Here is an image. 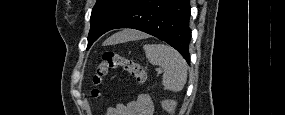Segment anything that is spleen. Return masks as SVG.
<instances>
[{
	"label": "spleen",
	"mask_w": 285,
	"mask_h": 115,
	"mask_svg": "<svg viewBox=\"0 0 285 115\" xmlns=\"http://www.w3.org/2000/svg\"><path fill=\"white\" fill-rule=\"evenodd\" d=\"M116 41L124 40L123 32L113 36ZM144 51L148 61L163 69L162 84L165 89L180 92L187 81V63L172 47L165 44H145Z\"/></svg>",
	"instance_id": "spleen-1"
}]
</instances>
